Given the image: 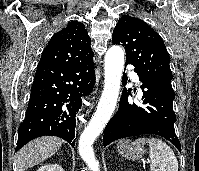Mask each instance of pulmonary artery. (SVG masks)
I'll list each match as a JSON object with an SVG mask.
<instances>
[{
	"label": "pulmonary artery",
	"mask_w": 199,
	"mask_h": 171,
	"mask_svg": "<svg viewBox=\"0 0 199 171\" xmlns=\"http://www.w3.org/2000/svg\"><path fill=\"white\" fill-rule=\"evenodd\" d=\"M132 79H133L134 82L139 83V79L136 75L133 74Z\"/></svg>",
	"instance_id": "1"
}]
</instances>
